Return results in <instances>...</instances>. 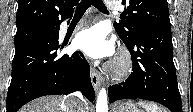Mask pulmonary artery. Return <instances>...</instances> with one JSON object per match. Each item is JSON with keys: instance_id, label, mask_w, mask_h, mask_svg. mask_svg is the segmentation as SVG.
<instances>
[{"instance_id": "pulmonary-artery-1", "label": "pulmonary artery", "mask_w": 193, "mask_h": 112, "mask_svg": "<svg viewBox=\"0 0 193 112\" xmlns=\"http://www.w3.org/2000/svg\"><path fill=\"white\" fill-rule=\"evenodd\" d=\"M107 7H108L109 10H112V11H117L119 9V6L114 1H108L107 2Z\"/></svg>"}]
</instances>
